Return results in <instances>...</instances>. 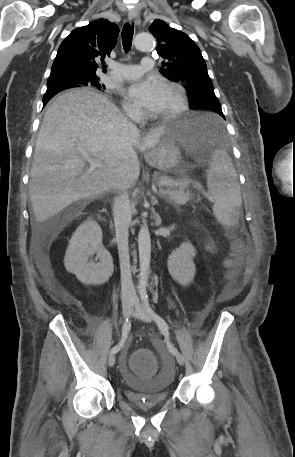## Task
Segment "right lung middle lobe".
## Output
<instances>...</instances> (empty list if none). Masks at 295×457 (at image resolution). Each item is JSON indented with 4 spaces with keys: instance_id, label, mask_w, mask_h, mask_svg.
<instances>
[{
    "instance_id": "obj_1",
    "label": "right lung middle lobe",
    "mask_w": 295,
    "mask_h": 457,
    "mask_svg": "<svg viewBox=\"0 0 295 457\" xmlns=\"http://www.w3.org/2000/svg\"><path fill=\"white\" fill-rule=\"evenodd\" d=\"M85 86L89 85V86H93V87H96L98 89H105V86L103 84H100L99 83V79L98 77H91V78H88L86 83L84 84ZM59 91H55V90H48L45 95H44V100L46 102H48L55 94H57Z\"/></svg>"
}]
</instances>
